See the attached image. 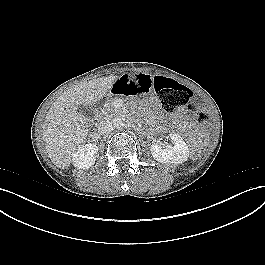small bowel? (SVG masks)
I'll use <instances>...</instances> for the list:
<instances>
[{"instance_id": "small-bowel-1", "label": "small bowel", "mask_w": 265, "mask_h": 265, "mask_svg": "<svg viewBox=\"0 0 265 265\" xmlns=\"http://www.w3.org/2000/svg\"><path fill=\"white\" fill-rule=\"evenodd\" d=\"M189 111V108H187V109H183L181 112L182 113H186V112H188Z\"/></svg>"}]
</instances>
